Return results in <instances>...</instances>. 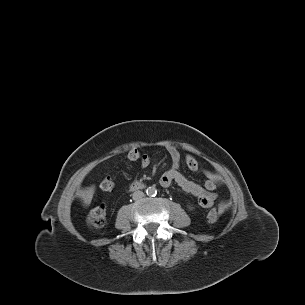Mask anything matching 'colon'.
Wrapping results in <instances>:
<instances>
[{
	"label": "colon",
	"instance_id": "5ec220e1",
	"mask_svg": "<svg viewBox=\"0 0 305 305\" xmlns=\"http://www.w3.org/2000/svg\"><path fill=\"white\" fill-rule=\"evenodd\" d=\"M143 154L138 146L130 147L126 152V158L131 162H140ZM114 187V182L110 177L104 178L100 183V188L103 191H110ZM207 218L210 222H216L219 219L217 209H211L208 212ZM107 219V208L104 204H100L93 208L88 214V224L92 228H100L104 226Z\"/></svg>",
	"mask_w": 305,
	"mask_h": 305
}]
</instances>
